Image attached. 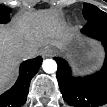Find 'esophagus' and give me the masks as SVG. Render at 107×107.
I'll return each instance as SVG.
<instances>
[{"label":"esophagus","mask_w":107,"mask_h":107,"mask_svg":"<svg viewBox=\"0 0 107 107\" xmlns=\"http://www.w3.org/2000/svg\"><path fill=\"white\" fill-rule=\"evenodd\" d=\"M53 53H54V50L50 47H45L41 51V55L43 58L51 57L53 55Z\"/></svg>","instance_id":"obj_1"}]
</instances>
